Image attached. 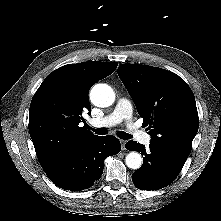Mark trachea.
Here are the masks:
<instances>
[{"label":"trachea","instance_id":"obj_1","mask_svg":"<svg viewBox=\"0 0 221 221\" xmlns=\"http://www.w3.org/2000/svg\"><path fill=\"white\" fill-rule=\"evenodd\" d=\"M92 130L98 135H105L107 133V129L105 128H97V129H92ZM117 136L123 140H128L131 138V136L124 131H118Z\"/></svg>","mask_w":221,"mask_h":221}]
</instances>
